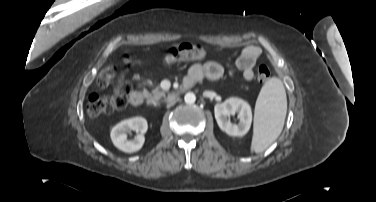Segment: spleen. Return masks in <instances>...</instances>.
Returning a JSON list of instances; mask_svg holds the SVG:
<instances>
[{"label": "spleen", "instance_id": "obj_1", "mask_svg": "<svg viewBox=\"0 0 376 202\" xmlns=\"http://www.w3.org/2000/svg\"><path fill=\"white\" fill-rule=\"evenodd\" d=\"M287 112L284 85L272 77L262 87L255 105L254 133L251 150L261 152L280 135Z\"/></svg>", "mask_w": 376, "mask_h": 202}]
</instances>
